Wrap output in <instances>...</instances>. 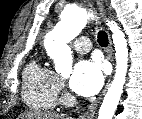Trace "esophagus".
<instances>
[{
    "label": "esophagus",
    "mask_w": 142,
    "mask_h": 119,
    "mask_svg": "<svg viewBox=\"0 0 142 119\" xmlns=\"http://www.w3.org/2000/svg\"><path fill=\"white\" fill-rule=\"evenodd\" d=\"M96 3H97L98 9H99L102 17L105 18L106 15H105V11H104L103 2L100 0H97ZM112 55H113L112 42H111V38L109 36L108 58L110 60H112L111 59ZM108 87H109V81L107 82L100 97L95 102H93L91 105L88 106V108L79 116V119H92L93 118V116L97 110L98 104L100 103V100L102 99V97L105 95Z\"/></svg>",
    "instance_id": "obj_1"
}]
</instances>
